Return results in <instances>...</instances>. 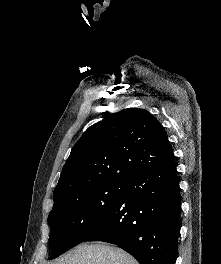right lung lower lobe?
Segmentation results:
<instances>
[{
    "label": "right lung lower lobe",
    "mask_w": 221,
    "mask_h": 264,
    "mask_svg": "<svg viewBox=\"0 0 221 264\" xmlns=\"http://www.w3.org/2000/svg\"><path fill=\"white\" fill-rule=\"evenodd\" d=\"M179 192L174 158L129 178L114 208L83 242L118 245L140 264H175Z\"/></svg>",
    "instance_id": "obj_1"
}]
</instances>
